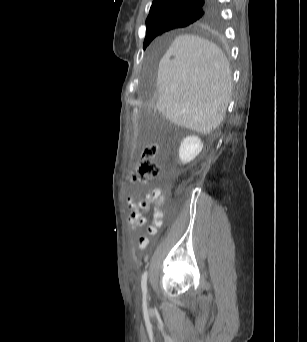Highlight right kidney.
<instances>
[{"label": "right kidney", "mask_w": 307, "mask_h": 342, "mask_svg": "<svg viewBox=\"0 0 307 342\" xmlns=\"http://www.w3.org/2000/svg\"><path fill=\"white\" fill-rule=\"evenodd\" d=\"M203 144L198 136H187L181 142L179 148V160L181 164H189L200 152H202Z\"/></svg>", "instance_id": "1"}]
</instances>
